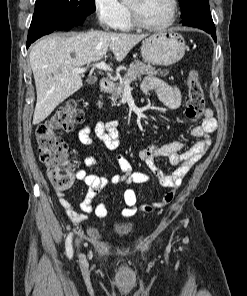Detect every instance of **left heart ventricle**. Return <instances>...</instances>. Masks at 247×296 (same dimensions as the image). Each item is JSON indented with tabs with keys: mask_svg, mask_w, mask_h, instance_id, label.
<instances>
[{
	"mask_svg": "<svg viewBox=\"0 0 247 296\" xmlns=\"http://www.w3.org/2000/svg\"><path fill=\"white\" fill-rule=\"evenodd\" d=\"M140 19L148 24H161L170 14L169 0H128Z\"/></svg>",
	"mask_w": 247,
	"mask_h": 296,
	"instance_id": "b2bd125f",
	"label": "left heart ventricle"
}]
</instances>
